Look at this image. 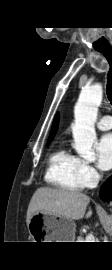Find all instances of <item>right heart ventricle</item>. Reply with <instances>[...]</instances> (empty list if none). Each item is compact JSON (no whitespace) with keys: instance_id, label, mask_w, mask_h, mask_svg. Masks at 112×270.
<instances>
[{"instance_id":"right-heart-ventricle-1","label":"right heart ventricle","mask_w":112,"mask_h":270,"mask_svg":"<svg viewBox=\"0 0 112 270\" xmlns=\"http://www.w3.org/2000/svg\"><path fill=\"white\" fill-rule=\"evenodd\" d=\"M79 160L64 146L58 147L49 156L46 181L63 190L80 191L83 184L79 174Z\"/></svg>"}]
</instances>
